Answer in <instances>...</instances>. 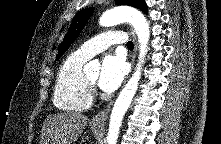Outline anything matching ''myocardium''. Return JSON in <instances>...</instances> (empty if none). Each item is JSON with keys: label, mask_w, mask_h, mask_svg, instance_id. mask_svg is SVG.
<instances>
[{"label": "myocardium", "mask_w": 221, "mask_h": 144, "mask_svg": "<svg viewBox=\"0 0 221 144\" xmlns=\"http://www.w3.org/2000/svg\"><path fill=\"white\" fill-rule=\"evenodd\" d=\"M86 82L88 84L89 89L91 90L94 86V82L91 81L88 77H86Z\"/></svg>", "instance_id": "f54148a6"}]
</instances>
